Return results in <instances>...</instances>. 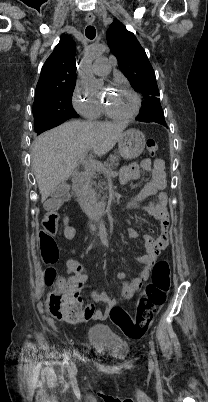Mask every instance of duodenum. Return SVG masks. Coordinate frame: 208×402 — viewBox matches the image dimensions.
<instances>
[{
  "mask_svg": "<svg viewBox=\"0 0 208 402\" xmlns=\"http://www.w3.org/2000/svg\"><path fill=\"white\" fill-rule=\"evenodd\" d=\"M84 180L85 177L83 173L79 172L72 176L73 191L77 200L85 211L100 215L105 210L107 202L105 200L98 201L88 195L84 189Z\"/></svg>",
  "mask_w": 208,
  "mask_h": 402,
  "instance_id": "obj_1",
  "label": "duodenum"
}]
</instances>
